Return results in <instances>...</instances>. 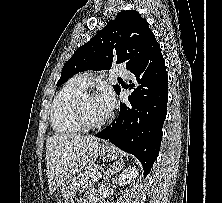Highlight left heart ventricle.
Listing matches in <instances>:
<instances>
[{"mask_svg":"<svg viewBox=\"0 0 222 203\" xmlns=\"http://www.w3.org/2000/svg\"><path fill=\"white\" fill-rule=\"evenodd\" d=\"M84 112L90 122H98L109 114L97 96L88 97L85 100Z\"/></svg>","mask_w":222,"mask_h":203,"instance_id":"left-heart-ventricle-1","label":"left heart ventricle"}]
</instances>
